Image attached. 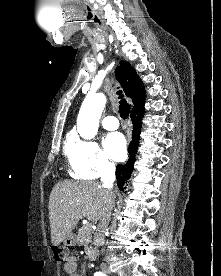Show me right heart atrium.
Instances as JSON below:
<instances>
[{"mask_svg": "<svg viewBox=\"0 0 221 276\" xmlns=\"http://www.w3.org/2000/svg\"><path fill=\"white\" fill-rule=\"evenodd\" d=\"M68 161L78 179H96L112 173L114 164L93 140L74 139L68 146Z\"/></svg>", "mask_w": 221, "mask_h": 276, "instance_id": "right-heart-atrium-1", "label": "right heart atrium"}]
</instances>
